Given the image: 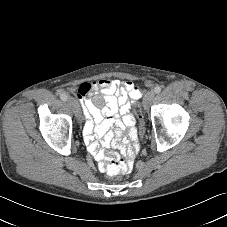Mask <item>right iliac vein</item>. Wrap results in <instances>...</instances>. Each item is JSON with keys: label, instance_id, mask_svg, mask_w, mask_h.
<instances>
[{"label": "right iliac vein", "instance_id": "right-iliac-vein-1", "mask_svg": "<svg viewBox=\"0 0 227 227\" xmlns=\"http://www.w3.org/2000/svg\"><path fill=\"white\" fill-rule=\"evenodd\" d=\"M68 104L72 108L73 113L76 116V119L80 122L82 119V116H81V109L78 101L75 98L70 97L68 98Z\"/></svg>", "mask_w": 227, "mask_h": 227}]
</instances>
